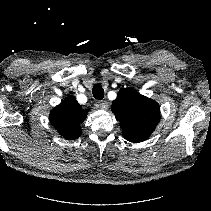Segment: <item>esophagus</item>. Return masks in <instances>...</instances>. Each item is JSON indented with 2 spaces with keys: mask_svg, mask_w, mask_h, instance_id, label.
<instances>
[{
  "mask_svg": "<svg viewBox=\"0 0 211 211\" xmlns=\"http://www.w3.org/2000/svg\"><path fill=\"white\" fill-rule=\"evenodd\" d=\"M98 106L103 110H107L109 108V104L107 101H99Z\"/></svg>",
  "mask_w": 211,
  "mask_h": 211,
  "instance_id": "34e87169",
  "label": "esophagus"
}]
</instances>
